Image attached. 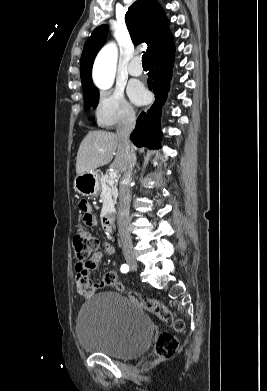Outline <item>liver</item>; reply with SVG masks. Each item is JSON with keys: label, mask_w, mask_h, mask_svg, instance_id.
Returning <instances> with one entry per match:
<instances>
[{"label": "liver", "mask_w": 267, "mask_h": 391, "mask_svg": "<svg viewBox=\"0 0 267 391\" xmlns=\"http://www.w3.org/2000/svg\"><path fill=\"white\" fill-rule=\"evenodd\" d=\"M111 164L116 172H125L128 166L125 148L115 133L107 131H91L82 140L76 158L77 175L94 171Z\"/></svg>", "instance_id": "1"}]
</instances>
